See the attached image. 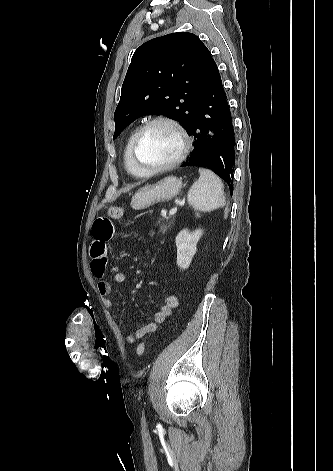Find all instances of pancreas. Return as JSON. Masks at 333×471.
<instances>
[{
  "instance_id": "obj_1",
  "label": "pancreas",
  "mask_w": 333,
  "mask_h": 471,
  "mask_svg": "<svg viewBox=\"0 0 333 471\" xmlns=\"http://www.w3.org/2000/svg\"><path fill=\"white\" fill-rule=\"evenodd\" d=\"M157 225L159 226V231L164 234L167 230L172 228L174 221L162 216L158 220Z\"/></svg>"
}]
</instances>
